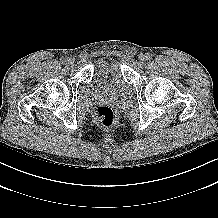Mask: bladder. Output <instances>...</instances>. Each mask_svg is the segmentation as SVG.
Listing matches in <instances>:
<instances>
[{
	"mask_svg": "<svg viewBox=\"0 0 218 218\" xmlns=\"http://www.w3.org/2000/svg\"><path fill=\"white\" fill-rule=\"evenodd\" d=\"M92 75L93 82L100 88L123 91L127 87L121 65L114 59L101 57L95 60Z\"/></svg>",
	"mask_w": 218,
	"mask_h": 218,
	"instance_id": "31cf9c89",
	"label": "bladder"
}]
</instances>
